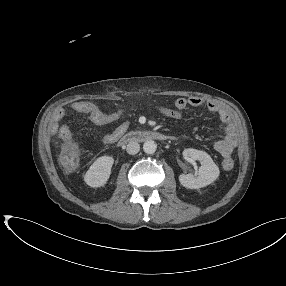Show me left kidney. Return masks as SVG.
<instances>
[{
    "mask_svg": "<svg viewBox=\"0 0 286 286\" xmlns=\"http://www.w3.org/2000/svg\"><path fill=\"white\" fill-rule=\"evenodd\" d=\"M183 156L185 159L198 160L201 163V166L195 175L181 174L179 176V181L184 187L188 189L202 188L211 184L218 178L220 174L219 168L206 152L188 148L183 151Z\"/></svg>",
    "mask_w": 286,
    "mask_h": 286,
    "instance_id": "1",
    "label": "left kidney"
}]
</instances>
